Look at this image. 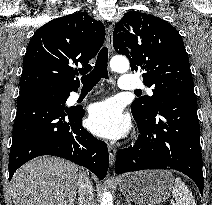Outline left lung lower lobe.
Masks as SVG:
<instances>
[{
  "label": "left lung lower lobe",
  "mask_w": 212,
  "mask_h": 205,
  "mask_svg": "<svg viewBox=\"0 0 212 205\" xmlns=\"http://www.w3.org/2000/svg\"><path fill=\"white\" fill-rule=\"evenodd\" d=\"M132 114L140 135L133 146L118 151L116 173L146 169L178 170L189 176L203 194L196 96L175 95L145 119Z\"/></svg>",
  "instance_id": "0a47b994"
}]
</instances>
